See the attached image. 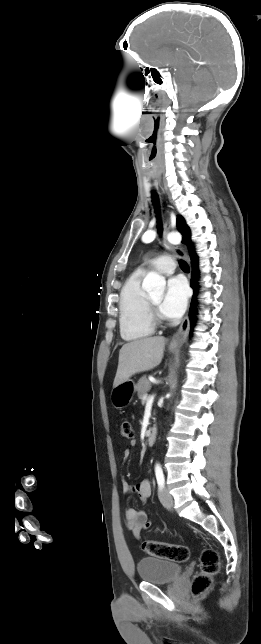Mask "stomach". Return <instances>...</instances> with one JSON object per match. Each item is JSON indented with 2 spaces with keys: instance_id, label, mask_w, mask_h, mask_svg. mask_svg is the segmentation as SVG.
I'll use <instances>...</instances> for the list:
<instances>
[{
  "instance_id": "obj_1",
  "label": "stomach",
  "mask_w": 261,
  "mask_h": 644,
  "mask_svg": "<svg viewBox=\"0 0 261 644\" xmlns=\"http://www.w3.org/2000/svg\"><path fill=\"white\" fill-rule=\"evenodd\" d=\"M169 350L174 353L179 350V347L169 346ZM135 391L136 384L131 379L114 387L110 396L113 407L120 410L127 407L132 401Z\"/></svg>"
}]
</instances>
